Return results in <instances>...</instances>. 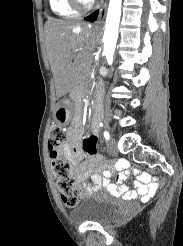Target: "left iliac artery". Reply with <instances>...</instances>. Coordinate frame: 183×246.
Masks as SVG:
<instances>
[{
	"label": "left iliac artery",
	"mask_w": 183,
	"mask_h": 246,
	"mask_svg": "<svg viewBox=\"0 0 183 246\" xmlns=\"http://www.w3.org/2000/svg\"><path fill=\"white\" fill-rule=\"evenodd\" d=\"M104 138L108 141L110 139V134L108 131H104Z\"/></svg>",
	"instance_id": "obj_1"
}]
</instances>
